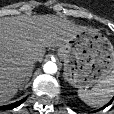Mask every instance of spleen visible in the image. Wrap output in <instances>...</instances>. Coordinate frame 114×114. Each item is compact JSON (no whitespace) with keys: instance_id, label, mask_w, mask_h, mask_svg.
I'll list each match as a JSON object with an SVG mask.
<instances>
[{"instance_id":"3e777b00","label":"spleen","mask_w":114,"mask_h":114,"mask_svg":"<svg viewBox=\"0 0 114 114\" xmlns=\"http://www.w3.org/2000/svg\"><path fill=\"white\" fill-rule=\"evenodd\" d=\"M114 94V71L100 80L91 90L79 88L78 95L91 107H101L108 103Z\"/></svg>"}]
</instances>
